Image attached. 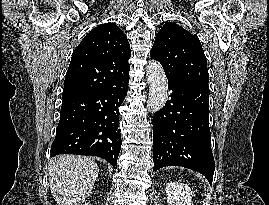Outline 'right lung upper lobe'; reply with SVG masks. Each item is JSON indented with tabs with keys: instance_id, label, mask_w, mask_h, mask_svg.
I'll use <instances>...</instances> for the list:
<instances>
[{
	"instance_id": "right-lung-upper-lobe-1",
	"label": "right lung upper lobe",
	"mask_w": 269,
	"mask_h": 205,
	"mask_svg": "<svg viewBox=\"0 0 269 205\" xmlns=\"http://www.w3.org/2000/svg\"><path fill=\"white\" fill-rule=\"evenodd\" d=\"M126 35L114 23L91 30L73 52L62 98H71L120 84L130 70Z\"/></svg>"
}]
</instances>
